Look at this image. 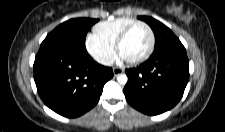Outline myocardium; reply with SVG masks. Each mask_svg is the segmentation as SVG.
<instances>
[{
  "mask_svg": "<svg viewBox=\"0 0 225 132\" xmlns=\"http://www.w3.org/2000/svg\"><path fill=\"white\" fill-rule=\"evenodd\" d=\"M138 26H143L147 29L149 36H150V43H149V47H148L147 51L142 56H140L136 59L126 60L127 63H129L131 65L140 64V63L144 62L145 60H147L153 53V50L155 47V34H154L153 29L150 27V25H148L145 22L136 21L133 24L129 25L126 29H124L123 32L117 38L116 43H115V48H116L117 53L120 55V48H121L123 42L129 36L131 31Z\"/></svg>",
  "mask_w": 225,
  "mask_h": 132,
  "instance_id": "1",
  "label": "myocardium"
}]
</instances>
